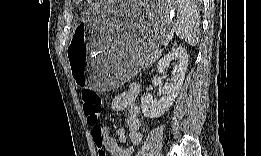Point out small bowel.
<instances>
[{
    "label": "small bowel",
    "mask_w": 261,
    "mask_h": 156,
    "mask_svg": "<svg viewBox=\"0 0 261 156\" xmlns=\"http://www.w3.org/2000/svg\"><path fill=\"white\" fill-rule=\"evenodd\" d=\"M139 92L140 87L137 84H132L127 91L116 96L111 102L110 107L112 111L121 112L127 110L125 115L127 130L121 128L117 131L118 140L110 135V130L107 125L100 127L101 146H103L111 156H132L134 154L132 146L122 147L119 142L125 144L129 141L132 145L141 143V122L139 119V107L136 103Z\"/></svg>",
    "instance_id": "c3829d8e"
}]
</instances>
